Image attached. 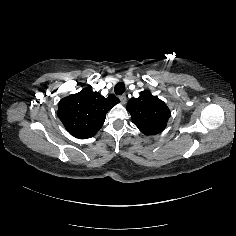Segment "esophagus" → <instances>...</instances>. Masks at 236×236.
I'll return each mask as SVG.
<instances>
[{"mask_svg":"<svg viewBox=\"0 0 236 236\" xmlns=\"http://www.w3.org/2000/svg\"><path fill=\"white\" fill-rule=\"evenodd\" d=\"M119 99H120V101H121L122 104H125V103H126V100H127V97H126L125 94H123V95H121V96L119 97Z\"/></svg>","mask_w":236,"mask_h":236,"instance_id":"34e87169","label":"esophagus"}]
</instances>
